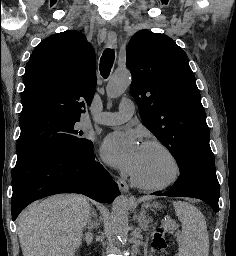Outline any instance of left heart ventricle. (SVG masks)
Instances as JSON below:
<instances>
[{
	"label": "left heart ventricle",
	"mask_w": 236,
	"mask_h": 256,
	"mask_svg": "<svg viewBox=\"0 0 236 256\" xmlns=\"http://www.w3.org/2000/svg\"><path fill=\"white\" fill-rule=\"evenodd\" d=\"M173 172V163L164 151L156 147L142 146L131 174L144 184L156 185L168 180Z\"/></svg>",
	"instance_id": "obj_1"
}]
</instances>
